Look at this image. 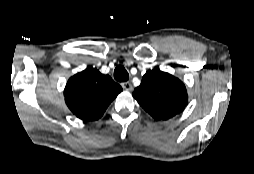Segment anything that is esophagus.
Segmentation results:
<instances>
[{
  "instance_id": "1",
  "label": "esophagus",
  "mask_w": 254,
  "mask_h": 174,
  "mask_svg": "<svg viewBox=\"0 0 254 174\" xmlns=\"http://www.w3.org/2000/svg\"><path fill=\"white\" fill-rule=\"evenodd\" d=\"M121 86L124 90L131 91L133 89L132 84L130 82H123Z\"/></svg>"
}]
</instances>
